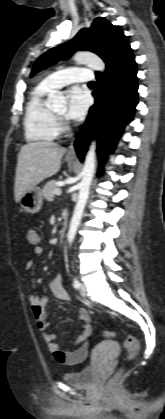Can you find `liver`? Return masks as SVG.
<instances>
[{"mask_svg":"<svg viewBox=\"0 0 165 419\" xmlns=\"http://www.w3.org/2000/svg\"><path fill=\"white\" fill-rule=\"evenodd\" d=\"M66 149L53 142H31L24 145L18 155L15 176V200L56 174Z\"/></svg>","mask_w":165,"mask_h":419,"instance_id":"obj_1","label":"liver"}]
</instances>
